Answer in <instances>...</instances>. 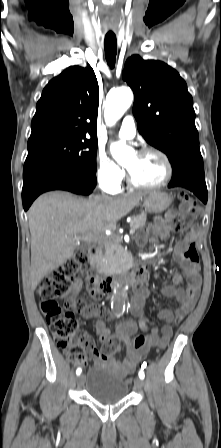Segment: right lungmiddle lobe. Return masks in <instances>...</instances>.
Wrapping results in <instances>:
<instances>
[{"label":"right lung middle lobe","mask_w":221,"mask_h":448,"mask_svg":"<svg viewBox=\"0 0 221 448\" xmlns=\"http://www.w3.org/2000/svg\"><path fill=\"white\" fill-rule=\"evenodd\" d=\"M97 139L68 138L28 148L26 161L49 159L70 167L96 173Z\"/></svg>","instance_id":"right-lung-middle-lobe-1"}]
</instances>
